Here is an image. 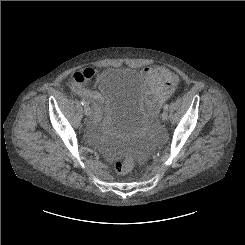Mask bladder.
Instances as JSON below:
<instances>
[{
	"instance_id": "bladder-1",
	"label": "bladder",
	"mask_w": 245,
	"mask_h": 245,
	"mask_svg": "<svg viewBox=\"0 0 245 245\" xmlns=\"http://www.w3.org/2000/svg\"><path fill=\"white\" fill-rule=\"evenodd\" d=\"M100 90L107 109L97 124L99 135L129 141L141 135L148 123L149 112L136 70L108 67Z\"/></svg>"
}]
</instances>
